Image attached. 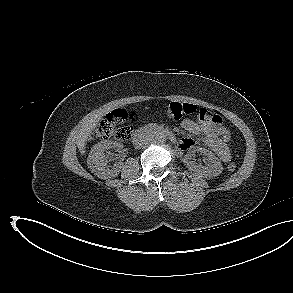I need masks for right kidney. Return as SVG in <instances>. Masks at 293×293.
<instances>
[{"mask_svg": "<svg viewBox=\"0 0 293 293\" xmlns=\"http://www.w3.org/2000/svg\"><path fill=\"white\" fill-rule=\"evenodd\" d=\"M112 148L120 150L123 148V145L115 141L103 140L95 144L89 153L87 159L88 167L92 173L101 179L116 177L121 171L122 162H116L112 168H109L107 165L108 160L105 156V151Z\"/></svg>", "mask_w": 293, "mask_h": 293, "instance_id": "1", "label": "right kidney"}]
</instances>
